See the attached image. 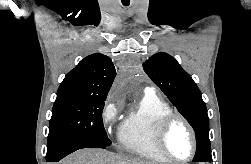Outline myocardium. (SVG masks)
Returning a JSON list of instances; mask_svg holds the SVG:
<instances>
[{
  "instance_id": "f54148a6",
  "label": "myocardium",
  "mask_w": 251,
  "mask_h": 164,
  "mask_svg": "<svg viewBox=\"0 0 251 164\" xmlns=\"http://www.w3.org/2000/svg\"><path fill=\"white\" fill-rule=\"evenodd\" d=\"M176 121H180L181 123L184 124V126L187 128V130L190 133L191 142H192V150H191L190 155L183 159L172 156L166 147V138H167L168 132ZM156 144L161 154L167 160L174 163H184V162L190 161L195 156L196 151H197V137H196V133L193 126L183 115L179 113H175V112L169 113L168 115L164 116L160 120L156 129Z\"/></svg>"
}]
</instances>
